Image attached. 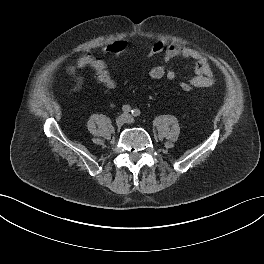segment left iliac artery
<instances>
[{
	"label": "left iliac artery",
	"instance_id": "44dca946",
	"mask_svg": "<svg viewBox=\"0 0 264 264\" xmlns=\"http://www.w3.org/2000/svg\"><path fill=\"white\" fill-rule=\"evenodd\" d=\"M131 112H132V115L135 116V117L140 115V110L139 109H133Z\"/></svg>",
	"mask_w": 264,
	"mask_h": 264
}]
</instances>
